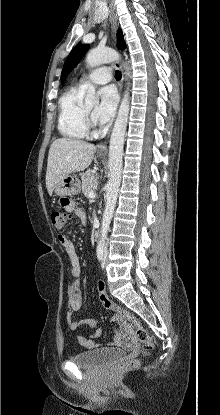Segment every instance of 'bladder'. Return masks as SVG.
Segmentation results:
<instances>
[{"label": "bladder", "mask_w": 220, "mask_h": 415, "mask_svg": "<svg viewBox=\"0 0 220 415\" xmlns=\"http://www.w3.org/2000/svg\"><path fill=\"white\" fill-rule=\"evenodd\" d=\"M123 349L85 350L74 354L70 360L79 367H93L107 363L123 356Z\"/></svg>", "instance_id": "obj_1"}]
</instances>
